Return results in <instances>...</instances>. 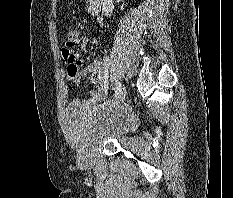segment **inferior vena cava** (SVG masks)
<instances>
[{"label": "inferior vena cava", "instance_id": "602c4592", "mask_svg": "<svg viewBox=\"0 0 233 198\" xmlns=\"http://www.w3.org/2000/svg\"><path fill=\"white\" fill-rule=\"evenodd\" d=\"M102 10L106 16L110 15L113 11V0H101Z\"/></svg>", "mask_w": 233, "mask_h": 198}]
</instances>
